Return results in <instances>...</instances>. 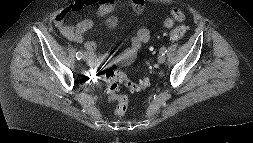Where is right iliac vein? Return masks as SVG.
I'll list each match as a JSON object with an SVG mask.
<instances>
[{
    "mask_svg": "<svg viewBox=\"0 0 253 143\" xmlns=\"http://www.w3.org/2000/svg\"><path fill=\"white\" fill-rule=\"evenodd\" d=\"M83 60L86 61V62L90 60V54L88 52H85L83 54Z\"/></svg>",
    "mask_w": 253,
    "mask_h": 143,
    "instance_id": "obj_1",
    "label": "right iliac vein"
}]
</instances>
